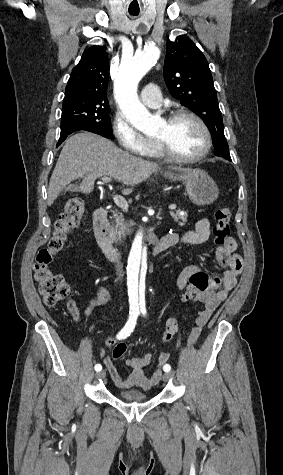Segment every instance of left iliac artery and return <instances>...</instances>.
<instances>
[{
	"label": "left iliac artery",
	"mask_w": 283,
	"mask_h": 475,
	"mask_svg": "<svg viewBox=\"0 0 283 475\" xmlns=\"http://www.w3.org/2000/svg\"><path fill=\"white\" fill-rule=\"evenodd\" d=\"M141 312H142L143 315H146V308H145V305H143V306L141 307ZM163 370H164L165 372H169V371L171 370L170 365H169V364L164 365Z\"/></svg>",
	"instance_id": "44dca946"
}]
</instances>
